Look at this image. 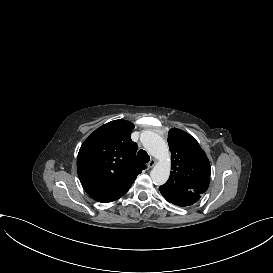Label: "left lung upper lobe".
Instances as JSON below:
<instances>
[{
	"label": "left lung upper lobe",
	"mask_w": 273,
	"mask_h": 273,
	"mask_svg": "<svg viewBox=\"0 0 273 273\" xmlns=\"http://www.w3.org/2000/svg\"><path fill=\"white\" fill-rule=\"evenodd\" d=\"M171 152V175L160 188L168 192L191 191L203 194L210 182V163L195 138L172 128L168 134Z\"/></svg>",
	"instance_id": "1"
}]
</instances>
